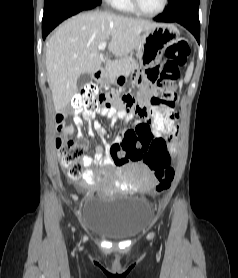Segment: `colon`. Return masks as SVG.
Instances as JSON below:
<instances>
[{
  "label": "colon",
  "mask_w": 238,
  "mask_h": 278,
  "mask_svg": "<svg viewBox=\"0 0 238 278\" xmlns=\"http://www.w3.org/2000/svg\"><path fill=\"white\" fill-rule=\"evenodd\" d=\"M189 51L188 43L180 40L164 52L161 76H157L159 85H154L155 91L149 100L152 113H150L148 125L144 126L152 127L153 134L166 136L171 135L175 130V107L179 95L181 69L187 61ZM96 95L97 89L94 85L84 86L81 92L72 99L73 108L88 113L96 112L100 103ZM123 100H134V98L125 95ZM152 137H140L141 144H133L131 141L115 143L109 152L115 165L142 160L154 173L157 180L156 190L163 191L170 187L174 178L173 158L170 155L173 154V149H169L167 144H150ZM56 145L60 154L61 167L71 178H79L82 173L81 159L85 150L84 146L70 135L59 137Z\"/></svg>",
  "instance_id": "1"
}]
</instances>
